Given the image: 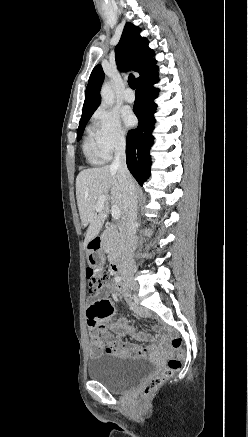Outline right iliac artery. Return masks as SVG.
I'll use <instances>...</instances> for the list:
<instances>
[{"instance_id":"82829eb1","label":"right iliac artery","mask_w":248,"mask_h":437,"mask_svg":"<svg viewBox=\"0 0 248 437\" xmlns=\"http://www.w3.org/2000/svg\"><path fill=\"white\" fill-rule=\"evenodd\" d=\"M115 280H116V282H121L122 278L118 276V277L115 278Z\"/></svg>"}]
</instances>
